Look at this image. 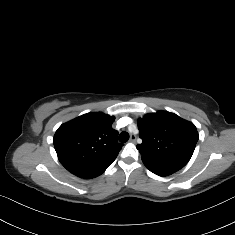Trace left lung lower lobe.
Returning a JSON list of instances; mask_svg holds the SVG:
<instances>
[{
	"instance_id": "obj_1",
	"label": "left lung lower lobe",
	"mask_w": 235,
	"mask_h": 235,
	"mask_svg": "<svg viewBox=\"0 0 235 235\" xmlns=\"http://www.w3.org/2000/svg\"><path fill=\"white\" fill-rule=\"evenodd\" d=\"M142 161L151 172L162 177L169 176L184 167L176 163L144 156H142Z\"/></svg>"
}]
</instances>
